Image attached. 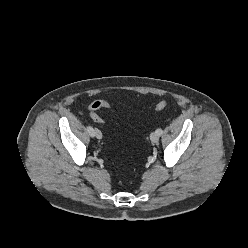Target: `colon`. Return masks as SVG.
<instances>
[{"instance_id": "5ec220e1", "label": "colon", "mask_w": 248, "mask_h": 248, "mask_svg": "<svg viewBox=\"0 0 248 248\" xmlns=\"http://www.w3.org/2000/svg\"><path fill=\"white\" fill-rule=\"evenodd\" d=\"M168 105V101L166 100H161L159 101L156 106H155V110L156 111H162L163 109H165ZM111 105L109 102L105 101V100H97L94 101L90 106H89V113H90V117L97 123H104V120L98 115V111L100 109H104V108H110Z\"/></svg>"}]
</instances>
